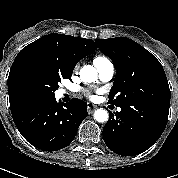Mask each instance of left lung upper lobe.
Returning <instances> with one entry per match:
<instances>
[{
  "label": "left lung upper lobe",
  "instance_id": "5c2ea615",
  "mask_svg": "<svg viewBox=\"0 0 178 178\" xmlns=\"http://www.w3.org/2000/svg\"><path fill=\"white\" fill-rule=\"evenodd\" d=\"M96 44L116 68L109 102L168 119L170 89L164 69L156 57L125 37L98 39Z\"/></svg>",
  "mask_w": 178,
  "mask_h": 178
}]
</instances>
